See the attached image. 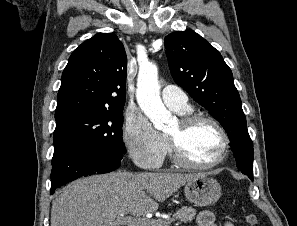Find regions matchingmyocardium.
Returning <instances> with one entry per match:
<instances>
[{"label": "myocardium", "mask_w": 297, "mask_h": 226, "mask_svg": "<svg viewBox=\"0 0 297 226\" xmlns=\"http://www.w3.org/2000/svg\"><path fill=\"white\" fill-rule=\"evenodd\" d=\"M201 122H208L212 124L221 133L223 137V145H222L221 152L214 161L207 164H199L194 162L188 157V155L186 154V152L182 147L181 140L179 138H176L167 134L166 137L171 149L172 157L176 162V164H178L179 166H182L188 169L206 170V169H212L224 161L230 146V137L226 129L222 126V124L218 120L204 114H188V115L182 116L178 120L182 133L187 132L192 126Z\"/></svg>", "instance_id": "myocardium-1"}]
</instances>
